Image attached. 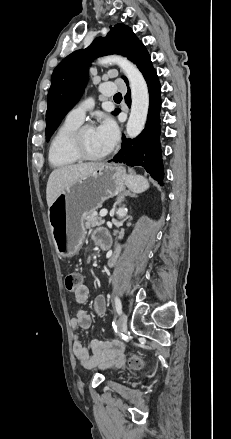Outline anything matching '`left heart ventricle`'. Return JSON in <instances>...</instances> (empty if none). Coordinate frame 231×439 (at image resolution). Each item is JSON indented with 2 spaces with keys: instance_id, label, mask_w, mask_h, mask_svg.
<instances>
[{
  "instance_id": "b2bd125f",
  "label": "left heart ventricle",
  "mask_w": 231,
  "mask_h": 439,
  "mask_svg": "<svg viewBox=\"0 0 231 439\" xmlns=\"http://www.w3.org/2000/svg\"><path fill=\"white\" fill-rule=\"evenodd\" d=\"M82 141L85 150L92 155H101L107 152L104 145L98 139L94 128L85 130Z\"/></svg>"
}]
</instances>
